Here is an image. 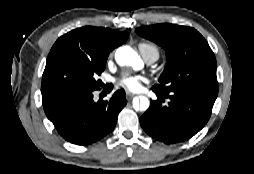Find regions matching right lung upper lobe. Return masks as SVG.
<instances>
[{
    "label": "right lung upper lobe",
    "instance_id": "1",
    "mask_svg": "<svg viewBox=\"0 0 254 174\" xmlns=\"http://www.w3.org/2000/svg\"><path fill=\"white\" fill-rule=\"evenodd\" d=\"M129 34L101 27H82L61 36L49 54L62 48L78 51L94 60H107L109 53L123 44Z\"/></svg>",
    "mask_w": 254,
    "mask_h": 174
}]
</instances>
